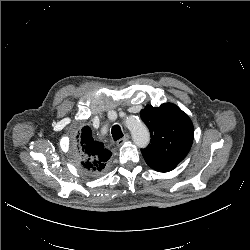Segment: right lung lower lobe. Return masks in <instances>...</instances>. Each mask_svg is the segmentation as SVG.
<instances>
[{
	"mask_svg": "<svg viewBox=\"0 0 250 250\" xmlns=\"http://www.w3.org/2000/svg\"><path fill=\"white\" fill-rule=\"evenodd\" d=\"M82 168H83V170L87 173V174H89V175H91V176H99V175H101V174H103L104 173V171H105V169H103V170H93V169H89V168H85V167H83L82 166Z\"/></svg>",
	"mask_w": 250,
	"mask_h": 250,
	"instance_id": "1",
	"label": "right lung lower lobe"
}]
</instances>
